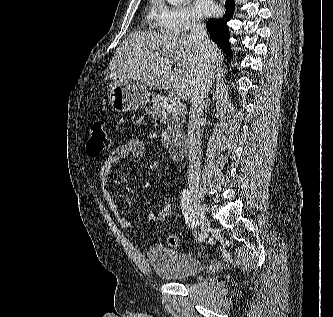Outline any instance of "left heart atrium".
Returning a JSON list of instances; mask_svg holds the SVG:
<instances>
[{
  "mask_svg": "<svg viewBox=\"0 0 333 317\" xmlns=\"http://www.w3.org/2000/svg\"><path fill=\"white\" fill-rule=\"evenodd\" d=\"M194 11L198 17H208L216 12V5L212 0H195Z\"/></svg>",
  "mask_w": 333,
  "mask_h": 317,
  "instance_id": "obj_1",
  "label": "left heart atrium"
}]
</instances>
